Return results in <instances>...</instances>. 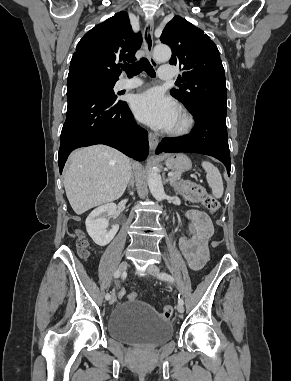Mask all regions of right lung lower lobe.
Instances as JSON below:
<instances>
[{"instance_id": "right-lung-lower-lobe-1", "label": "right lung lower lobe", "mask_w": 291, "mask_h": 381, "mask_svg": "<svg viewBox=\"0 0 291 381\" xmlns=\"http://www.w3.org/2000/svg\"><path fill=\"white\" fill-rule=\"evenodd\" d=\"M68 107L58 155L60 173L69 154L79 147L105 144L136 160L149 153L148 133L135 124L126 102L107 97L93 80H67Z\"/></svg>"}]
</instances>
